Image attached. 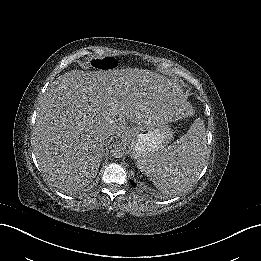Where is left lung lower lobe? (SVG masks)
<instances>
[{"mask_svg": "<svg viewBox=\"0 0 261 261\" xmlns=\"http://www.w3.org/2000/svg\"><path fill=\"white\" fill-rule=\"evenodd\" d=\"M132 185L135 187L136 185L132 182Z\"/></svg>", "mask_w": 261, "mask_h": 261, "instance_id": "obj_1", "label": "left lung lower lobe"}]
</instances>
